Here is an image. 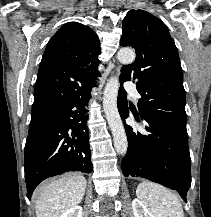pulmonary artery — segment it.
<instances>
[{
	"label": "pulmonary artery",
	"instance_id": "pulmonary-artery-1",
	"mask_svg": "<svg viewBox=\"0 0 211 217\" xmlns=\"http://www.w3.org/2000/svg\"><path fill=\"white\" fill-rule=\"evenodd\" d=\"M124 87H125L126 91L128 93H130L131 95H133L136 99L139 98V93L137 92V89L133 83L126 82Z\"/></svg>",
	"mask_w": 211,
	"mask_h": 217
}]
</instances>
